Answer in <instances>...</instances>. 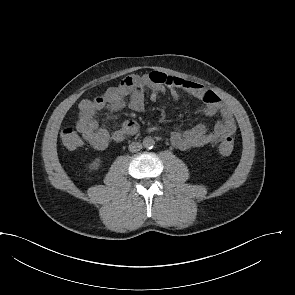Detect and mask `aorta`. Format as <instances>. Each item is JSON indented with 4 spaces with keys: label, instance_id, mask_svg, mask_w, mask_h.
<instances>
[{
    "label": "aorta",
    "instance_id": "obj_1",
    "mask_svg": "<svg viewBox=\"0 0 295 295\" xmlns=\"http://www.w3.org/2000/svg\"><path fill=\"white\" fill-rule=\"evenodd\" d=\"M155 144V141L153 140V138L151 137H145L144 140H143V146L146 148V149H151L153 148Z\"/></svg>",
    "mask_w": 295,
    "mask_h": 295
}]
</instances>
